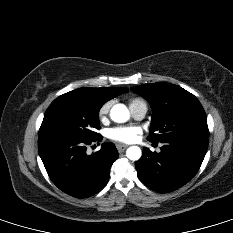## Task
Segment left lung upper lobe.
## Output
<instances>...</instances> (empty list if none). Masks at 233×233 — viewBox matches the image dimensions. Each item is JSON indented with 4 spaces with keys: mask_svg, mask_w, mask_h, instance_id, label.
<instances>
[{
    "mask_svg": "<svg viewBox=\"0 0 233 233\" xmlns=\"http://www.w3.org/2000/svg\"><path fill=\"white\" fill-rule=\"evenodd\" d=\"M151 105L150 142H165L177 137H209L207 117L199 100L185 89L169 83L132 87Z\"/></svg>",
    "mask_w": 233,
    "mask_h": 233,
    "instance_id": "obj_1",
    "label": "left lung upper lobe"
}]
</instances>
